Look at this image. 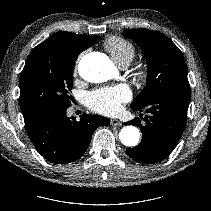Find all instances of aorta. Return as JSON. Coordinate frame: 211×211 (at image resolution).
I'll return each instance as SVG.
<instances>
[{
  "mask_svg": "<svg viewBox=\"0 0 211 211\" xmlns=\"http://www.w3.org/2000/svg\"><path fill=\"white\" fill-rule=\"evenodd\" d=\"M79 74L88 82L99 83L108 80L113 73L110 59L103 54L85 55L79 62ZM119 139L125 146H136L140 140V132L134 126H125L119 133Z\"/></svg>",
  "mask_w": 211,
  "mask_h": 211,
  "instance_id": "1",
  "label": "aorta"
}]
</instances>
